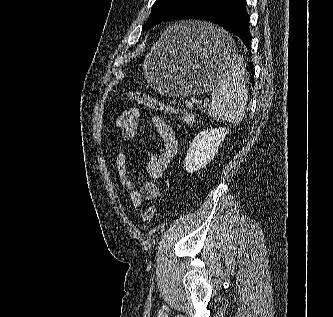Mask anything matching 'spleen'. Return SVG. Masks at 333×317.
I'll return each mask as SVG.
<instances>
[{
	"instance_id": "obj_1",
	"label": "spleen",
	"mask_w": 333,
	"mask_h": 317,
	"mask_svg": "<svg viewBox=\"0 0 333 317\" xmlns=\"http://www.w3.org/2000/svg\"><path fill=\"white\" fill-rule=\"evenodd\" d=\"M211 35L213 43L219 47L226 44L229 62L222 77L212 92V102L208 115L221 121L238 123L245 114L248 101V90L245 83L246 70L243 60L234 53V43L226 31L214 25Z\"/></svg>"
}]
</instances>
